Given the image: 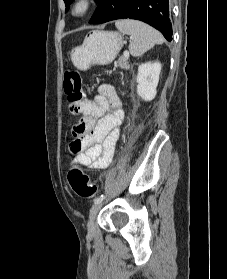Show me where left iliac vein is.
I'll use <instances>...</instances> for the list:
<instances>
[{
	"label": "left iliac vein",
	"instance_id": "1",
	"mask_svg": "<svg viewBox=\"0 0 227 279\" xmlns=\"http://www.w3.org/2000/svg\"><path fill=\"white\" fill-rule=\"evenodd\" d=\"M102 205H103V201L95 203L90 210V215H89V220H88L89 233H93V231H94V220L96 218L97 213L101 209Z\"/></svg>",
	"mask_w": 227,
	"mask_h": 279
}]
</instances>
